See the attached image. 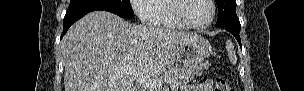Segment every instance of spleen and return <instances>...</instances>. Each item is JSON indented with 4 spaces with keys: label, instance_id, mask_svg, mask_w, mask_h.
<instances>
[{
    "label": "spleen",
    "instance_id": "spleen-1",
    "mask_svg": "<svg viewBox=\"0 0 304 91\" xmlns=\"http://www.w3.org/2000/svg\"><path fill=\"white\" fill-rule=\"evenodd\" d=\"M226 50L228 53V58L231 62V64L236 65L237 63V56H236V52L234 51V46L232 44L231 41H228L226 44Z\"/></svg>",
    "mask_w": 304,
    "mask_h": 91
}]
</instances>
